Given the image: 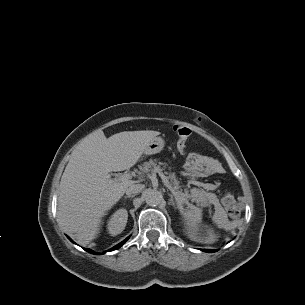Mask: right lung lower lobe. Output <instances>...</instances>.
<instances>
[{
	"mask_svg": "<svg viewBox=\"0 0 305 305\" xmlns=\"http://www.w3.org/2000/svg\"><path fill=\"white\" fill-rule=\"evenodd\" d=\"M69 238V237H68ZM129 238V237H128ZM128 238H126L124 241L120 242L119 244H117L116 246H114L113 248L109 249L108 251H113V250H116L118 249L119 247H121L127 240ZM70 239V238H69ZM71 240V239H70ZM72 241V240H71ZM73 242V241H72ZM86 250L87 252L89 253H92V254H96L95 252L91 251L90 249H84Z\"/></svg>",
	"mask_w": 305,
	"mask_h": 305,
	"instance_id": "right-lung-lower-lobe-1",
	"label": "right lung lower lobe"
}]
</instances>
